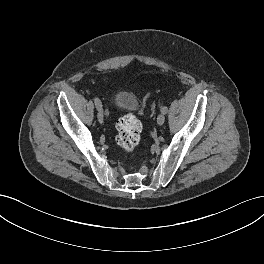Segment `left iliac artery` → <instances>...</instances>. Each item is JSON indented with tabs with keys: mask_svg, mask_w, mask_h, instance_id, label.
<instances>
[{
	"mask_svg": "<svg viewBox=\"0 0 264 264\" xmlns=\"http://www.w3.org/2000/svg\"><path fill=\"white\" fill-rule=\"evenodd\" d=\"M161 112H162L163 114H166V113L168 112V108H167L166 106H163V107L161 108Z\"/></svg>",
	"mask_w": 264,
	"mask_h": 264,
	"instance_id": "left-iliac-artery-1",
	"label": "left iliac artery"
}]
</instances>
